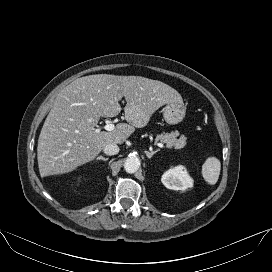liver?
<instances>
[{
    "label": "liver",
    "mask_w": 272,
    "mask_h": 272,
    "mask_svg": "<svg viewBox=\"0 0 272 272\" xmlns=\"http://www.w3.org/2000/svg\"><path fill=\"white\" fill-rule=\"evenodd\" d=\"M124 108L127 123L98 131L100 117H115ZM182 102L169 85L141 76L96 74L67 85L56 97L38 139L41 177L64 174L92 161L110 143L123 144L135 128H143L161 106Z\"/></svg>",
    "instance_id": "6515ba94"
}]
</instances>
